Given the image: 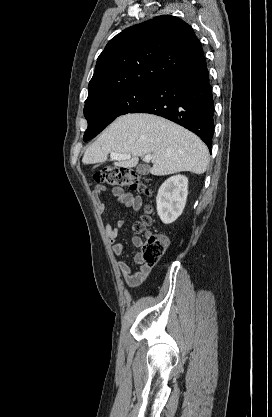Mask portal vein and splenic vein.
<instances>
[{
    "instance_id": "18ae733b",
    "label": "portal vein and splenic vein",
    "mask_w": 272,
    "mask_h": 417,
    "mask_svg": "<svg viewBox=\"0 0 272 417\" xmlns=\"http://www.w3.org/2000/svg\"><path fill=\"white\" fill-rule=\"evenodd\" d=\"M110 157H111V159H114V160H127V159L131 158V155H129V154H119V153H116V152H112V153H110ZM152 158H153L152 154H146L145 155V160L146 161H150Z\"/></svg>"
}]
</instances>
